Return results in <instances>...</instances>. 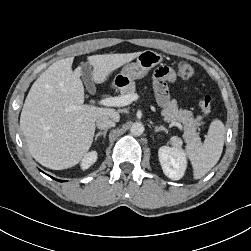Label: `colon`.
Segmentation results:
<instances>
[{
  "label": "colon",
  "mask_w": 251,
  "mask_h": 251,
  "mask_svg": "<svg viewBox=\"0 0 251 251\" xmlns=\"http://www.w3.org/2000/svg\"><path fill=\"white\" fill-rule=\"evenodd\" d=\"M178 74L183 79H190L195 75V69L191 64L183 61L178 64ZM200 108L205 115L209 116L211 114L212 103L209 95L202 97L200 100Z\"/></svg>",
  "instance_id": "5ec220e1"
}]
</instances>
